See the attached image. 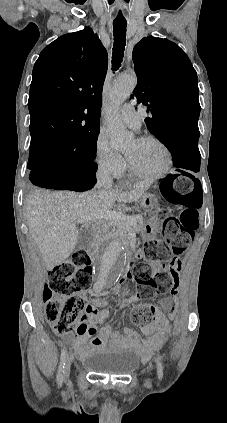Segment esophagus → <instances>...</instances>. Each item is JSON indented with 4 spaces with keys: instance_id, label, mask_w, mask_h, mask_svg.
Instances as JSON below:
<instances>
[{
    "instance_id": "1",
    "label": "esophagus",
    "mask_w": 227,
    "mask_h": 423,
    "mask_svg": "<svg viewBox=\"0 0 227 423\" xmlns=\"http://www.w3.org/2000/svg\"><path fill=\"white\" fill-rule=\"evenodd\" d=\"M122 182V180H119V183H121Z\"/></svg>"
}]
</instances>
